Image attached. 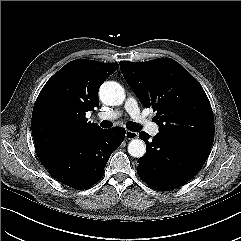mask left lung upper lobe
Listing matches in <instances>:
<instances>
[{"label":"left lung upper lobe","mask_w":241,"mask_h":241,"mask_svg":"<svg viewBox=\"0 0 241 241\" xmlns=\"http://www.w3.org/2000/svg\"><path fill=\"white\" fill-rule=\"evenodd\" d=\"M128 85L145 107L157 111L159 133L212 146L214 118L200 83L172 59L119 63Z\"/></svg>","instance_id":"5c2ea615"}]
</instances>
